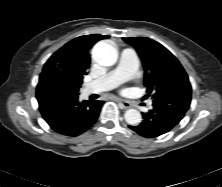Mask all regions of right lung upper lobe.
Listing matches in <instances>:
<instances>
[{
  "label": "right lung upper lobe",
  "mask_w": 222,
  "mask_h": 187,
  "mask_svg": "<svg viewBox=\"0 0 222 187\" xmlns=\"http://www.w3.org/2000/svg\"><path fill=\"white\" fill-rule=\"evenodd\" d=\"M107 38L109 36L92 34L69 41L49 58L42 73L69 70L83 78L90 66V48L97 41Z\"/></svg>",
  "instance_id": "cb5924a9"
}]
</instances>
